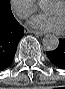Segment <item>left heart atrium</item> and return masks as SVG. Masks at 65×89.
<instances>
[{
  "label": "left heart atrium",
  "mask_w": 65,
  "mask_h": 89,
  "mask_svg": "<svg viewBox=\"0 0 65 89\" xmlns=\"http://www.w3.org/2000/svg\"><path fill=\"white\" fill-rule=\"evenodd\" d=\"M30 26L44 32L60 33L64 29V22L58 16L40 15L31 20Z\"/></svg>",
  "instance_id": "left-heart-atrium-1"
}]
</instances>
